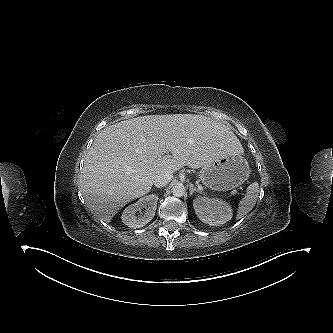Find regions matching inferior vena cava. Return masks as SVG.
<instances>
[{
    "mask_svg": "<svg viewBox=\"0 0 333 333\" xmlns=\"http://www.w3.org/2000/svg\"><path fill=\"white\" fill-rule=\"evenodd\" d=\"M173 178L171 173H160L154 179V185L157 188L166 186Z\"/></svg>",
    "mask_w": 333,
    "mask_h": 333,
    "instance_id": "602c4592",
    "label": "inferior vena cava"
}]
</instances>
